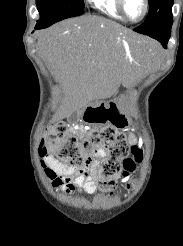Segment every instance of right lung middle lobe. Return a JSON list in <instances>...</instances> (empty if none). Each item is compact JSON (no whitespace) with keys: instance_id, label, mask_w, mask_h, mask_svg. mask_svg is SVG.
<instances>
[{"instance_id":"dd1d6c3e","label":"right lung middle lobe","mask_w":183,"mask_h":246,"mask_svg":"<svg viewBox=\"0 0 183 246\" xmlns=\"http://www.w3.org/2000/svg\"><path fill=\"white\" fill-rule=\"evenodd\" d=\"M36 5L41 19L37 24L49 26L84 12L83 0H36Z\"/></svg>"}]
</instances>
